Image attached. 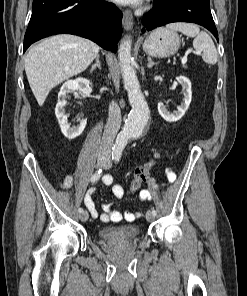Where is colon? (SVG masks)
<instances>
[{"label":"colon","instance_id":"5ec220e1","mask_svg":"<svg viewBox=\"0 0 247 296\" xmlns=\"http://www.w3.org/2000/svg\"><path fill=\"white\" fill-rule=\"evenodd\" d=\"M159 158L160 155L157 154L153 159L135 170L134 177L130 185V192L139 190L141 185L146 181L149 170L158 162Z\"/></svg>","mask_w":247,"mask_h":296}]
</instances>
